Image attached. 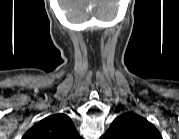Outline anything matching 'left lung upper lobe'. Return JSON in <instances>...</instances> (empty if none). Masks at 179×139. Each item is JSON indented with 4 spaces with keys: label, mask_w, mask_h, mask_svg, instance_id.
Returning <instances> with one entry per match:
<instances>
[{
    "label": "left lung upper lobe",
    "mask_w": 179,
    "mask_h": 139,
    "mask_svg": "<svg viewBox=\"0 0 179 139\" xmlns=\"http://www.w3.org/2000/svg\"><path fill=\"white\" fill-rule=\"evenodd\" d=\"M103 139H162L159 131L145 118L126 113L117 117Z\"/></svg>",
    "instance_id": "1"
}]
</instances>
